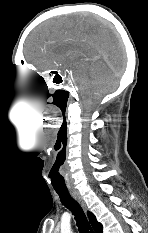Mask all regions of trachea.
<instances>
[{
  "instance_id": "trachea-1",
  "label": "trachea",
  "mask_w": 148,
  "mask_h": 233,
  "mask_svg": "<svg viewBox=\"0 0 148 233\" xmlns=\"http://www.w3.org/2000/svg\"><path fill=\"white\" fill-rule=\"evenodd\" d=\"M56 193L59 195L62 204L69 209L72 214L75 216V220L77 222L78 230L80 233H92L89 222L79 205V203L73 199V197L69 194L68 191H57ZM90 230V231H89Z\"/></svg>"
}]
</instances>
